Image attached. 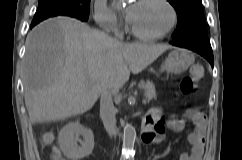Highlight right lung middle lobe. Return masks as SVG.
Listing matches in <instances>:
<instances>
[{"mask_svg": "<svg viewBox=\"0 0 242 160\" xmlns=\"http://www.w3.org/2000/svg\"><path fill=\"white\" fill-rule=\"evenodd\" d=\"M91 0H39L32 24L53 16H70L81 21L89 17Z\"/></svg>", "mask_w": 242, "mask_h": 160, "instance_id": "right-lung-middle-lobe-1", "label": "right lung middle lobe"}]
</instances>
